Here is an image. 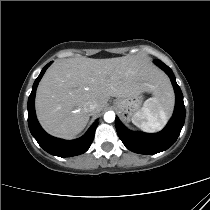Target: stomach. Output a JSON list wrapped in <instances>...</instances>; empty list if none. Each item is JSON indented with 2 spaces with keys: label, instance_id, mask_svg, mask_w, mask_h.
<instances>
[{
  "label": "stomach",
  "instance_id": "stomach-1",
  "mask_svg": "<svg viewBox=\"0 0 210 210\" xmlns=\"http://www.w3.org/2000/svg\"><path fill=\"white\" fill-rule=\"evenodd\" d=\"M143 102V94H136L131 97L117 98L114 100L113 104L119 114L124 118L129 120L136 113L141 111V106Z\"/></svg>",
  "mask_w": 210,
  "mask_h": 210
}]
</instances>
